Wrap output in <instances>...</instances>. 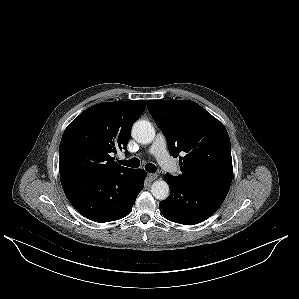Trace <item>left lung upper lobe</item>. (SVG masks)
<instances>
[{
	"label": "left lung upper lobe",
	"mask_w": 299,
	"mask_h": 299,
	"mask_svg": "<svg viewBox=\"0 0 299 299\" xmlns=\"http://www.w3.org/2000/svg\"><path fill=\"white\" fill-rule=\"evenodd\" d=\"M147 108L167 139L173 157L180 153L181 180L232 182L231 144L224 125L193 101L149 100Z\"/></svg>",
	"instance_id": "1"
}]
</instances>
